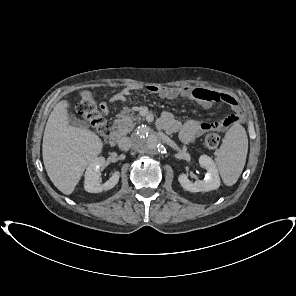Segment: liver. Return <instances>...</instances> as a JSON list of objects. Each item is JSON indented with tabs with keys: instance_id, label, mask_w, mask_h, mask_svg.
<instances>
[{
	"instance_id": "6515ba94",
	"label": "liver",
	"mask_w": 296,
	"mask_h": 296,
	"mask_svg": "<svg viewBox=\"0 0 296 296\" xmlns=\"http://www.w3.org/2000/svg\"><path fill=\"white\" fill-rule=\"evenodd\" d=\"M70 103L61 100L53 108L46 123L42 154L47 174L62 193L71 194L85 168L101 153L99 136L69 124Z\"/></svg>"
}]
</instances>
